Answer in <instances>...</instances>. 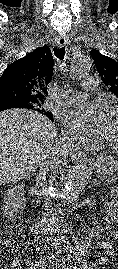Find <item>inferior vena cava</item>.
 Masks as SVG:
<instances>
[{
  "instance_id": "obj_1",
  "label": "inferior vena cava",
  "mask_w": 118,
  "mask_h": 269,
  "mask_svg": "<svg viewBox=\"0 0 118 269\" xmlns=\"http://www.w3.org/2000/svg\"><path fill=\"white\" fill-rule=\"evenodd\" d=\"M61 146H62L61 142L56 143L51 155L39 165V173H38L39 179L45 180L49 172L59 166L61 162V154H60Z\"/></svg>"
}]
</instances>
